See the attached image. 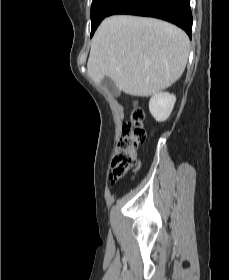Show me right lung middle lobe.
Wrapping results in <instances>:
<instances>
[{"label":"right lung middle lobe","instance_id":"dd1d6c3e","mask_svg":"<svg viewBox=\"0 0 229 280\" xmlns=\"http://www.w3.org/2000/svg\"><path fill=\"white\" fill-rule=\"evenodd\" d=\"M115 0H93L91 6V36L95 32L96 28L104 19Z\"/></svg>","mask_w":229,"mask_h":280}]
</instances>
